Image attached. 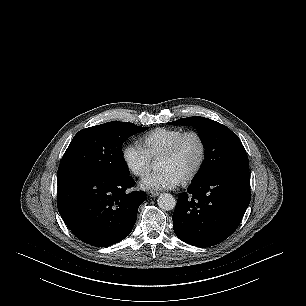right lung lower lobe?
Segmentation results:
<instances>
[{"label":"right lung lower lobe","mask_w":306,"mask_h":306,"mask_svg":"<svg viewBox=\"0 0 306 306\" xmlns=\"http://www.w3.org/2000/svg\"><path fill=\"white\" fill-rule=\"evenodd\" d=\"M135 184L129 176L87 174L58 184V211L82 242L106 247L130 234L144 192L127 193Z\"/></svg>","instance_id":"right-lung-lower-lobe-1"}]
</instances>
